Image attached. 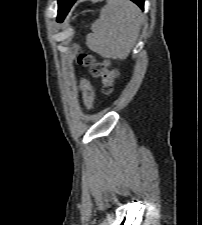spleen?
Returning a JSON list of instances; mask_svg holds the SVG:
<instances>
[{
    "label": "spleen",
    "mask_w": 202,
    "mask_h": 225,
    "mask_svg": "<svg viewBox=\"0 0 202 225\" xmlns=\"http://www.w3.org/2000/svg\"><path fill=\"white\" fill-rule=\"evenodd\" d=\"M143 16L130 0H107L100 17L91 26L87 45L101 56L126 59L141 30Z\"/></svg>",
    "instance_id": "spleen-1"
}]
</instances>
